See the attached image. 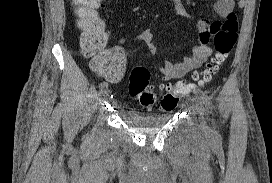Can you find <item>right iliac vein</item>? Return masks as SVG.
<instances>
[{"label": "right iliac vein", "instance_id": "63e3f726", "mask_svg": "<svg viewBox=\"0 0 272 183\" xmlns=\"http://www.w3.org/2000/svg\"><path fill=\"white\" fill-rule=\"evenodd\" d=\"M102 96H107L109 94V90L106 88L100 92Z\"/></svg>", "mask_w": 272, "mask_h": 183}]
</instances>
